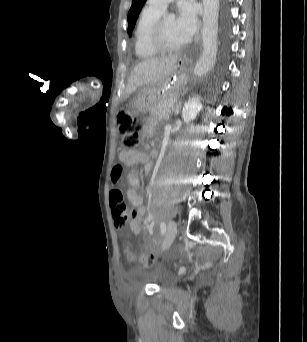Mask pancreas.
I'll list each match as a JSON object with an SVG mask.
<instances>
[{"instance_id": "pancreas-1", "label": "pancreas", "mask_w": 307, "mask_h": 342, "mask_svg": "<svg viewBox=\"0 0 307 342\" xmlns=\"http://www.w3.org/2000/svg\"><path fill=\"white\" fill-rule=\"evenodd\" d=\"M160 103L164 102V104H160L159 108H154L151 112V116H156L158 120H163V118H168L169 112L164 108L165 104H171L173 101L177 100L176 94H162L157 97Z\"/></svg>"}]
</instances>
